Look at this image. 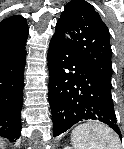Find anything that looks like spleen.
Masks as SVG:
<instances>
[{"label": "spleen", "mask_w": 124, "mask_h": 149, "mask_svg": "<svg viewBox=\"0 0 124 149\" xmlns=\"http://www.w3.org/2000/svg\"><path fill=\"white\" fill-rule=\"evenodd\" d=\"M102 126L91 123L77 126L71 135L74 149H119L112 131Z\"/></svg>", "instance_id": "obj_1"}]
</instances>
